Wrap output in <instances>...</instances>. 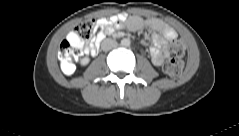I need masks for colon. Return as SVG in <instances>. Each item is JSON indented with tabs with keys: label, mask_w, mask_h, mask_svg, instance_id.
<instances>
[{
	"label": "colon",
	"mask_w": 239,
	"mask_h": 136,
	"mask_svg": "<svg viewBox=\"0 0 239 136\" xmlns=\"http://www.w3.org/2000/svg\"><path fill=\"white\" fill-rule=\"evenodd\" d=\"M97 22L95 19H86L75 26L74 34L79 43L89 39L96 29ZM185 46L180 40L173 41L172 53L173 57L164 65L165 73L177 78L183 71V55ZM80 56V46L69 39L62 41L59 47L58 58L61 69L66 74H71L74 71V62Z\"/></svg>",
	"instance_id": "5ec220e1"
}]
</instances>
